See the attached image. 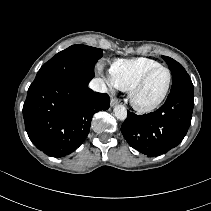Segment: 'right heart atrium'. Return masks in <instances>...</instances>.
<instances>
[{
    "label": "right heart atrium",
    "mask_w": 211,
    "mask_h": 211,
    "mask_svg": "<svg viewBox=\"0 0 211 211\" xmlns=\"http://www.w3.org/2000/svg\"><path fill=\"white\" fill-rule=\"evenodd\" d=\"M108 84H109V86H110L111 88H113V87H114V84L112 83V81H111V80H108Z\"/></svg>",
    "instance_id": "1"
}]
</instances>
